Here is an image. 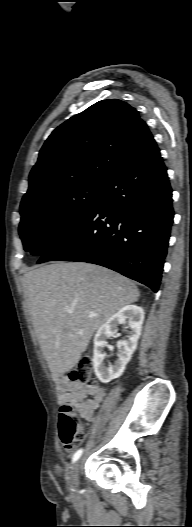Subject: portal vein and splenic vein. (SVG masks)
I'll use <instances>...</instances> for the list:
<instances>
[{"mask_svg":"<svg viewBox=\"0 0 192 527\" xmlns=\"http://www.w3.org/2000/svg\"><path fill=\"white\" fill-rule=\"evenodd\" d=\"M67 312H68V313H72L73 310H72V309H67ZM95 316H96V314H90V315H89V317H95Z\"/></svg>","mask_w":192,"mask_h":527,"instance_id":"1","label":"portal vein and splenic vein"}]
</instances>
